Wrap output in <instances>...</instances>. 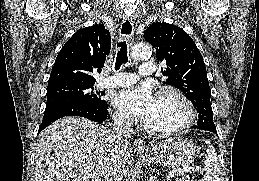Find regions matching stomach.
Instances as JSON below:
<instances>
[{
    "mask_svg": "<svg viewBox=\"0 0 259 181\" xmlns=\"http://www.w3.org/2000/svg\"><path fill=\"white\" fill-rule=\"evenodd\" d=\"M198 149L196 145L180 138H168L153 144L143 156L148 162L170 168H180L194 161Z\"/></svg>",
    "mask_w": 259,
    "mask_h": 181,
    "instance_id": "0dacf381",
    "label": "stomach"
}]
</instances>
